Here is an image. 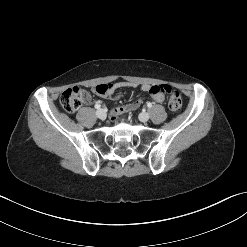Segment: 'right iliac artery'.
I'll list each match as a JSON object with an SVG mask.
<instances>
[{"instance_id":"obj_1","label":"right iliac artery","mask_w":247,"mask_h":247,"mask_svg":"<svg viewBox=\"0 0 247 247\" xmlns=\"http://www.w3.org/2000/svg\"><path fill=\"white\" fill-rule=\"evenodd\" d=\"M100 107H101L100 104H96V105H95V108H96V109H100Z\"/></svg>"}]
</instances>
